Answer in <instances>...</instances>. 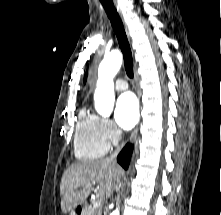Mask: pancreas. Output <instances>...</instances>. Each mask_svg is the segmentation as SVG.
I'll list each match as a JSON object with an SVG mask.
<instances>
[{
	"label": "pancreas",
	"mask_w": 221,
	"mask_h": 215,
	"mask_svg": "<svg viewBox=\"0 0 221 215\" xmlns=\"http://www.w3.org/2000/svg\"><path fill=\"white\" fill-rule=\"evenodd\" d=\"M83 215H101V209L94 206H88L85 208Z\"/></svg>",
	"instance_id": "1"
}]
</instances>
